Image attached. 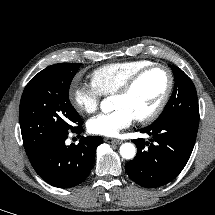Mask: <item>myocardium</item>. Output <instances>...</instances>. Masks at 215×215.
<instances>
[{
  "label": "myocardium",
  "instance_id": "f54148a6",
  "mask_svg": "<svg viewBox=\"0 0 215 215\" xmlns=\"http://www.w3.org/2000/svg\"><path fill=\"white\" fill-rule=\"evenodd\" d=\"M155 69H162L166 72L167 76H168V85L166 88V91L163 95V97L161 98L160 102L157 104V106L147 115L141 116V117H137L135 118V120L139 123L142 124H147L150 123L152 121H154L156 118L159 117V115L163 112V110L165 109L170 96L172 94L173 88H174V75L172 70L164 65V64H152L149 65L143 69H141L140 71H138L137 73H135L133 76H131L124 84L123 86L115 93L116 96H125L128 95L133 89L134 87L137 85V83L145 76L147 75L149 72L155 70Z\"/></svg>",
  "mask_w": 215,
  "mask_h": 215
}]
</instances>
